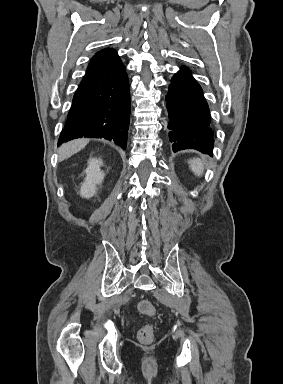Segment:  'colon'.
<instances>
[{"label": "colon", "mask_w": 283, "mask_h": 384, "mask_svg": "<svg viewBox=\"0 0 283 384\" xmlns=\"http://www.w3.org/2000/svg\"><path fill=\"white\" fill-rule=\"evenodd\" d=\"M138 310L149 317H154L157 313L155 306L147 299H142L138 302ZM154 336L152 324L144 325L138 332V338L143 343H149Z\"/></svg>", "instance_id": "1"}]
</instances>
